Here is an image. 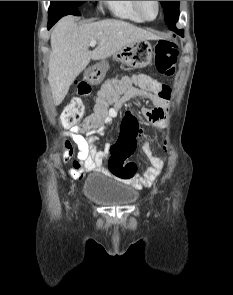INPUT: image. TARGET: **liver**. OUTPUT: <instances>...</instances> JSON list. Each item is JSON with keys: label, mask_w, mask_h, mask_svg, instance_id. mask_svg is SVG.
Returning <instances> with one entry per match:
<instances>
[{"label": "liver", "mask_w": 233, "mask_h": 295, "mask_svg": "<svg viewBox=\"0 0 233 295\" xmlns=\"http://www.w3.org/2000/svg\"><path fill=\"white\" fill-rule=\"evenodd\" d=\"M157 40L158 36L129 22L115 19L77 25L74 16L58 21L51 33L48 81L54 104L59 105L75 78L90 60L108 58L137 40ZM95 40L98 46L89 50Z\"/></svg>", "instance_id": "obj_1"}]
</instances>
